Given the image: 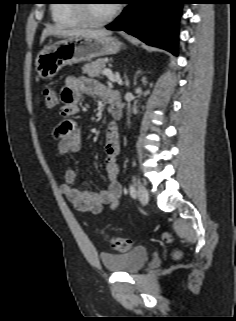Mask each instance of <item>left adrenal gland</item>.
Instances as JSON below:
<instances>
[{
	"mask_svg": "<svg viewBox=\"0 0 236 321\" xmlns=\"http://www.w3.org/2000/svg\"><path fill=\"white\" fill-rule=\"evenodd\" d=\"M125 78H126V83L128 84V79H127V77L125 76Z\"/></svg>",
	"mask_w": 236,
	"mask_h": 321,
	"instance_id": "1",
	"label": "left adrenal gland"
}]
</instances>
